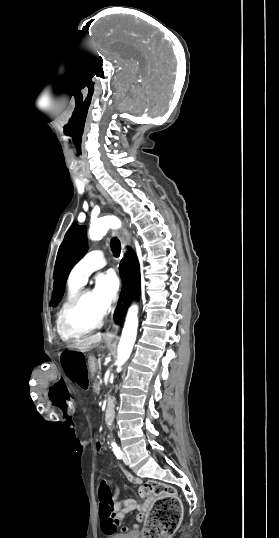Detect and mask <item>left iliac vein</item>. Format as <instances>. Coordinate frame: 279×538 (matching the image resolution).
I'll list each match as a JSON object with an SVG mask.
<instances>
[{"instance_id": "1", "label": "left iliac vein", "mask_w": 279, "mask_h": 538, "mask_svg": "<svg viewBox=\"0 0 279 538\" xmlns=\"http://www.w3.org/2000/svg\"><path fill=\"white\" fill-rule=\"evenodd\" d=\"M123 461L125 464H129V460H128V457L126 456V454L123 455Z\"/></svg>"}]
</instances>
